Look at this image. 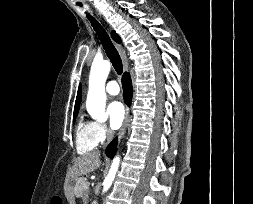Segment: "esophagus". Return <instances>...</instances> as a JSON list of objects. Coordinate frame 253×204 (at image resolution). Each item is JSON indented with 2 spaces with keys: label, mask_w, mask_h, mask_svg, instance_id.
<instances>
[{
  "label": "esophagus",
  "mask_w": 253,
  "mask_h": 204,
  "mask_svg": "<svg viewBox=\"0 0 253 204\" xmlns=\"http://www.w3.org/2000/svg\"><path fill=\"white\" fill-rule=\"evenodd\" d=\"M116 48H117V50H118V52L121 56L123 66H124V70L127 71L128 70V61H127V56H126L125 50L119 44H116ZM128 120H129V108L127 107L124 123L122 125V128H121L119 134H118V140H120L121 137L123 136V134L125 133V130H126L127 125H128Z\"/></svg>",
  "instance_id": "1"
}]
</instances>
